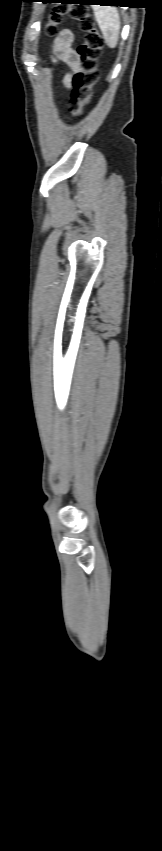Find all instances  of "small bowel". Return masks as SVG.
I'll return each mask as SVG.
<instances>
[{
    "mask_svg": "<svg viewBox=\"0 0 162 851\" xmlns=\"http://www.w3.org/2000/svg\"><path fill=\"white\" fill-rule=\"evenodd\" d=\"M73 43V32L65 29L55 37L51 48L54 61L63 63L69 69L64 78L67 87H71L75 75L80 71V60L73 49Z\"/></svg>",
    "mask_w": 162,
    "mask_h": 851,
    "instance_id": "small-bowel-1",
    "label": "small bowel"
}]
</instances>
